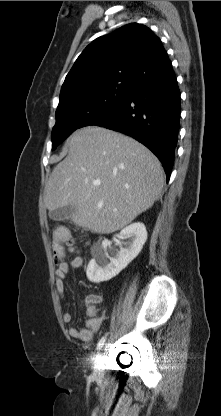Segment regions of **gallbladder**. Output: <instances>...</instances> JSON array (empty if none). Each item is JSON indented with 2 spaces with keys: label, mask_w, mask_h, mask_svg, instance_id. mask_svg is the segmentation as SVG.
<instances>
[{
  "label": "gallbladder",
  "mask_w": 221,
  "mask_h": 416,
  "mask_svg": "<svg viewBox=\"0 0 221 416\" xmlns=\"http://www.w3.org/2000/svg\"><path fill=\"white\" fill-rule=\"evenodd\" d=\"M74 206H64L57 208L55 210L49 211V218L53 221H63L69 219L72 214L75 212Z\"/></svg>",
  "instance_id": "obj_1"
}]
</instances>
